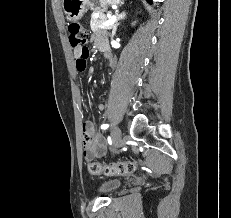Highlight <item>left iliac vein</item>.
<instances>
[{
    "instance_id": "1",
    "label": "left iliac vein",
    "mask_w": 231,
    "mask_h": 218,
    "mask_svg": "<svg viewBox=\"0 0 231 218\" xmlns=\"http://www.w3.org/2000/svg\"><path fill=\"white\" fill-rule=\"evenodd\" d=\"M112 152L117 153L118 149L123 145L122 133L119 127H115L112 131Z\"/></svg>"
}]
</instances>
